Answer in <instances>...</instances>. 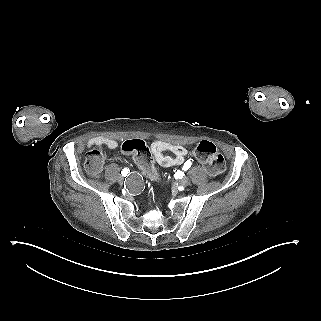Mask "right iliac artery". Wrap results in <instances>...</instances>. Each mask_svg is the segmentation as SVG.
Masks as SVG:
<instances>
[{"instance_id": "obj_1", "label": "right iliac artery", "mask_w": 321, "mask_h": 321, "mask_svg": "<svg viewBox=\"0 0 321 321\" xmlns=\"http://www.w3.org/2000/svg\"><path fill=\"white\" fill-rule=\"evenodd\" d=\"M128 173H129V169H128V168H124V169L122 170V172H121V174H122L123 176H126Z\"/></svg>"}]
</instances>
